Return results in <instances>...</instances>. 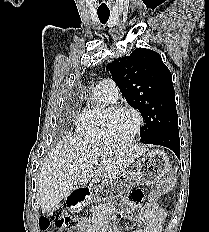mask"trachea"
Masks as SVG:
<instances>
[{"mask_svg":"<svg viewBox=\"0 0 209 232\" xmlns=\"http://www.w3.org/2000/svg\"><path fill=\"white\" fill-rule=\"evenodd\" d=\"M97 14L100 22L105 24L109 19L110 11H98Z\"/></svg>","mask_w":209,"mask_h":232,"instance_id":"trachea-1","label":"trachea"}]
</instances>
